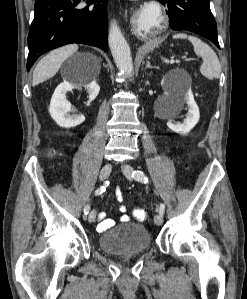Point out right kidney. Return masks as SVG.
Returning <instances> with one entry per match:
<instances>
[{"instance_id":"right-kidney-1","label":"right kidney","mask_w":247,"mask_h":299,"mask_svg":"<svg viewBox=\"0 0 247 299\" xmlns=\"http://www.w3.org/2000/svg\"><path fill=\"white\" fill-rule=\"evenodd\" d=\"M84 87L88 93V103L93 101L100 91V86L96 80L93 79L88 83L75 85L67 81L62 82L57 86L54 94L51 98L49 113L52 119L63 128H72L80 125L85 121V116L80 114H72L70 112L75 111L71 108V105L66 100V93L72 91V89H81Z\"/></svg>"}]
</instances>
